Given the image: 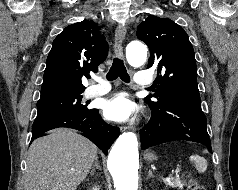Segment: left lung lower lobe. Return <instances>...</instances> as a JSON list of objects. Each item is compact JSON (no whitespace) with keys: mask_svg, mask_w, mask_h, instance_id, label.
<instances>
[{"mask_svg":"<svg viewBox=\"0 0 238 190\" xmlns=\"http://www.w3.org/2000/svg\"><path fill=\"white\" fill-rule=\"evenodd\" d=\"M150 108L151 119L140 130L142 149L169 141L186 140L201 143L212 151L201 102L176 100Z\"/></svg>","mask_w":238,"mask_h":190,"instance_id":"1","label":"left lung lower lobe"}]
</instances>
